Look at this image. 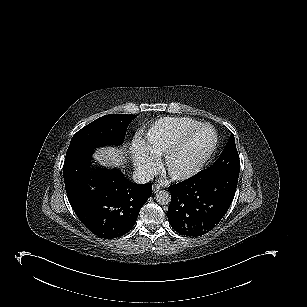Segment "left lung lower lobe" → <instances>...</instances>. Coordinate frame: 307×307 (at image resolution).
I'll return each instance as SVG.
<instances>
[{
    "label": "left lung lower lobe",
    "mask_w": 307,
    "mask_h": 307,
    "mask_svg": "<svg viewBox=\"0 0 307 307\" xmlns=\"http://www.w3.org/2000/svg\"><path fill=\"white\" fill-rule=\"evenodd\" d=\"M238 177L200 171L189 179L171 185L167 212L172 228L186 236H201L213 229L228 211Z\"/></svg>",
    "instance_id": "left-lung-lower-lobe-1"
}]
</instances>
